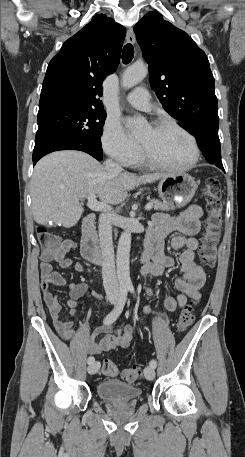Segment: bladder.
<instances>
[{"instance_id":"obj_1","label":"bladder","mask_w":245,"mask_h":457,"mask_svg":"<svg viewBox=\"0 0 245 457\" xmlns=\"http://www.w3.org/2000/svg\"><path fill=\"white\" fill-rule=\"evenodd\" d=\"M141 394L138 388L119 380H106L97 386V396L112 404L134 401Z\"/></svg>"}]
</instances>
